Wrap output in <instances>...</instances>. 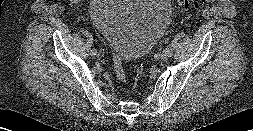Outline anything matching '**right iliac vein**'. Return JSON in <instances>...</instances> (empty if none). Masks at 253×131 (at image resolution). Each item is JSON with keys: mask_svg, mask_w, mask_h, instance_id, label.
Here are the masks:
<instances>
[{"mask_svg": "<svg viewBox=\"0 0 253 131\" xmlns=\"http://www.w3.org/2000/svg\"><path fill=\"white\" fill-rule=\"evenodd\" d=\"M91 55H93V56H97V55H98L97 50H96L95 52H92V51H91Z\"/></svg>", "mask_w": 253, "mask_h": 131, "instance_id": "right-iliac-vein-1", "label": "right iliac vein"}]
</instances>
